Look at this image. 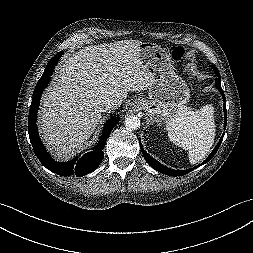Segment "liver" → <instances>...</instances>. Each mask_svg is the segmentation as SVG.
Returning a JSON list of instances; mask_svg holds the SVG:
<instances>
[{"instance_id":"obj_1","label":"liver","mask_w":253,"mask_h":253,"mask_svg":"<svg viewBox=\"0 0 253 253\" xmlns=\"http://www.w3.org/2000/svg\"><path fill=\"white\" fill-rule=\"evenodd\" d=\"M138 40L90 45L68 57L42 98L40 130L64 159L80 149L101 119L105 99L120 102L128 92L148 89L153 75L138 56Z\"/></svg>"}]
</instances>
